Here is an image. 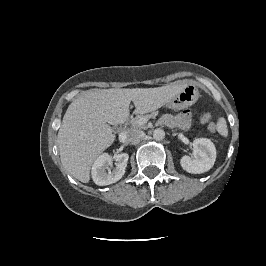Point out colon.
<instances>
[{
  "label": "colon",
  "mask_w": 266,
  "mask_h": 266,
  "mask_svg": "<svg viewBox=\"0 0 266 266\" xmlns=\"http://www.w3.org/2000/svg\"><path fill=\"white\" fill-rule=\"evenodd\" d=\"M210 120H211V115L209 113H203L201 115V121L203 123H209L208 125L209 131L214 132L216 130V125L214 123H211Z\"/></svg>",
  "instance_id": "5ec220e1"
}]
</instances>
